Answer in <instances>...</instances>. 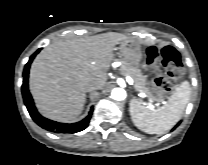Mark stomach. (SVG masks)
<instances>
[{
	"label": "stomach",
	"mask_w": 208,
	"mask_h": 165,
	"mask_svg": "<svg viewBox=\"0 0 208 165\" xmlns=\"http://www.w3.org/2000/svg\"><path fill=\"white\" fill-rule=\"evenodd\" d=\"M120 51L123 59L138 69L142 59L140 46L132 41H123L120 43Z\"/></svg>",
	"instance_id": "0dacf381"
}]
</instances>
